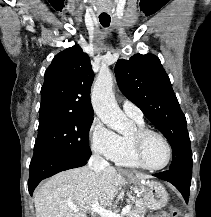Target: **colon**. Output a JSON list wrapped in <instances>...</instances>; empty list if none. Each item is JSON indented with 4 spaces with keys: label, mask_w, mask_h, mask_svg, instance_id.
I'll use <instances>...</instances> for the list:
<instances>
[{
    "label": "colon",
    "mask_w": 211,
    "mask_h": 217,
    "mask_svg": "<svg viewBox=\"0 0 211 217\" xmlns=\"http://www.w3.org/2000/svg\"><path fill=\"white\" fill-rule=\"evenodd\" d=\"M157 217H178V211L172 208L169 212H161L156 215Z\"/></svg>",
    "instance_id": "colon-1"
}]
</instances>
